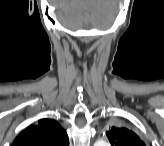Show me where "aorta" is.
I'll list each match as a JSON object with an SVG mask.
<instances>
[{
  "label": "aorta",
  "instance_id": "obj_1",
  "mask_svg": "<svg viewBox=\"0 0 164 146\" xmlns=\"http://www.w3.org/2000/svg\"><path fill=\"white\" fill-rule=\"evenodd\" d=\"M95 144L96 146H109L108 142L105 140H99Z\"/></svg>",
  "mask_w": 164,
  "mask_h": 146
}]
</instances>
